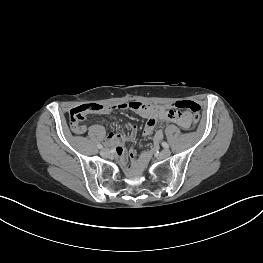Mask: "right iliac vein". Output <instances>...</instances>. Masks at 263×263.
<instances>
[{
  "mask_svg": "<svg viewBox=\"0 0 263 263\" xmlns=\"http://www.w3.org/2000/svg\"><path fill=\"white\" fill-rule=\"evenodd\" d=\"M101 156L107 157L109 155V151L107 149H102L100 152Z\"/></svg>",
  "mask_w": 263,
  "mask_h": 263,
  "instance_id": "63e3f726",
  "label": "right iliac vein"
}]
</instances>
